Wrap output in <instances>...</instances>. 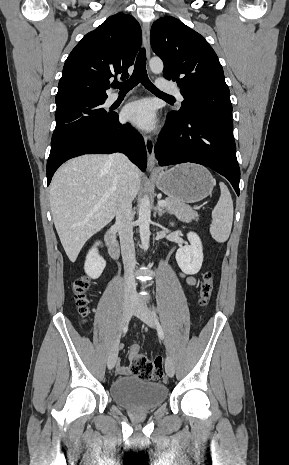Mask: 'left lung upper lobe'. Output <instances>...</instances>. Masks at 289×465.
I'll use <instances>...</instances> for the list:
<instances>
[{
	"mask_svg": "<svg viewBox=\"0 0 289 465\" xmlns=\"http://www.w3.org/2000/svg\"><path fill=\"white\" fill-rule=\"evenodd\" d=\"M151 46L164 62V77L177 81L184 97L178 117L204 112L231 117L230 91L212 47L199 33L174 17H163L151 28Z\"/></svg>",
	"mask_w": 289,
	"mask_h": 465,
	"instance_id": "obj_1",
	"label": "left lung upper lobe"
}]
</instances>
